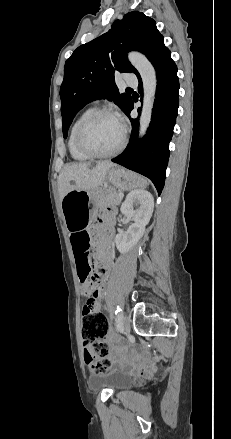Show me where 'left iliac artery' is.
Returning <instances> with one entry per match:
<instances>
[{"label": "left iliac artery", "mask_w": 231, "mask_h": 439, "mask_svg": "<svg viewBox=\"0 0 231 439\" xmlns=\"http://www.w3.org/2000/svg\"><path fill=\"white\" fill-rule=\"evenodd\" d=\"M115 309V326L119 329L122 326V310L119 305H116Z\"/></svg>", "instance_id": "left-iliac-artery-1"}]
</instances>
